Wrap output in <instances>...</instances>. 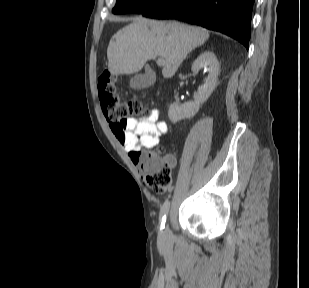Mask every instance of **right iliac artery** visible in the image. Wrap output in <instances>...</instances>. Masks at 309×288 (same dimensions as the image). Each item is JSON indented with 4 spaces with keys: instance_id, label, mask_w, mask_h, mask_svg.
Returning a JSON list of instances; mask_svg holds the SVG:
<instances>
[{
    "instance_id": "82829eb1",
    "label": "right iliac artery",
    "mask_w": 309,
    "mask_h": 288,
    "mask_svg": "<svg viewBox=\"0 0 309 288\" xmlns=\"http://www.w3.org/2000/svg\"><path fill=\"white\" fill-rule=\"evenodd\" d=\"M169 207H170V202L166 200L160 210V224H161L160 230L164 229L165 227L166 215L169 211Z\"/></svg>"
}]
</instances>
